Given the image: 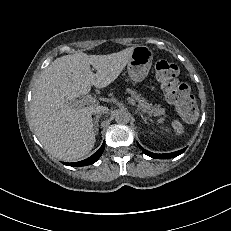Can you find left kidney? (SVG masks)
I'll return each instance as SVG.
<instances>
[{
    "label": "left kidney",
    "mask_w": 231,
    "mask_h": 231,
    "mask_svg": "<svg viewBox=\"0 0 231 231\" xmlns=\"http://www.w3.org/2000/svg\"><path fill=\"white\" fill-rule=\"evenodd\" d=\"M150 134H151V135H153V134H154V132H153V131H151V132H150Z\"/></svg>",
    "instance_id": "obj_1"
}]
</instances>
